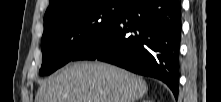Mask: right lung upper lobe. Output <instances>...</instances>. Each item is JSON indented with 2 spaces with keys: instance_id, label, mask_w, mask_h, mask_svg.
I'll return each instance as SVG.
<instances>
[{
  "instance_id": "right-lung-upper-lobe-1",
  "label": "right lung upper lobe",
  "mask_w": 221,
  "mask_h": 102,
  "mask_svg": "<svg viewBox=\"0 0 221 102\" xmlns=\"http://www.w3.org/2000/svg\"><path fill=\"white\" fill-rule=\"evenodd\" d=\"M81 0H50L49 7L46 10L44 21L50 19L63 9L69 7V5L73 2H77Z\"/></svg>"
}]
</instances>
